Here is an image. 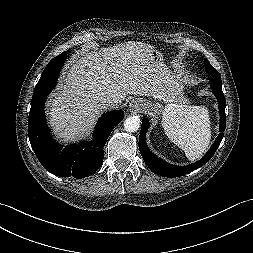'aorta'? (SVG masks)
Masks as SVG:
<instances>
[{
    "label": "aorta",
    "instance_id": "obj_1",
    "mask_svg": "<svg viewBox=\"0 0 253 253\" xmlns=\"http://www.w3.org/2000/svg\"><path fill=\"white\" fill-rule=\"evenodd\" d=\"M124 128L127 132H136L140 128V119L136 116L128 117L124 121Z\"/></svg>",
    "mask_w": 253,
    "mask_h": 253
}]
</instances>
